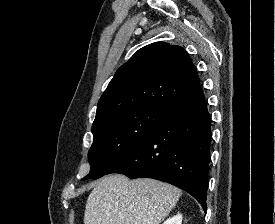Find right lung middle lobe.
Returning a JSON list of instances; mask_svg holds the SVG:
<instances>
[{"mask_svg": "<svg viewBox=\"0 0 275 224\" xmlns=\"http://www.w3.org/2000/svg\"><path fill=\"white\" fill-rule=\"evenodd\" d=\"M165 111L142 107L92 127L93 144L88 153L91 168L83 180L108 174L148 136Z\"/></svg>", "mask_w": 275, "mask_h": 224, "instance_id": "dd1d6c3e", "label": "right lung middle lobe"}]
</instances>
